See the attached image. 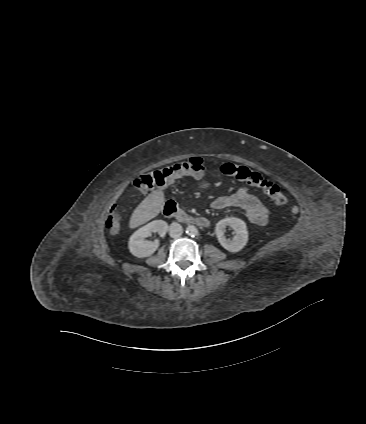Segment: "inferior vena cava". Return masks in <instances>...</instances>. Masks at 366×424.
Instances as JSON below:
<instances>
[{
  "instance_id": "602c4592",
  "label": "inferior vena cava",
  "mask_w": 366,
  "mask_h": 424,
  "mask_svg": "<svg viewBox=\"0 0 366 424\" xmlns=\"http://www.w3.org/2000/svg\"><path fill=\"white\" fill-rule=\"evenodd\" d=\"M169 233H170V236L172 238H178V237H180L182 235L183 228H182V226L179 223L173 222L169 226Z\"/></svg>"
}]
</instances>
